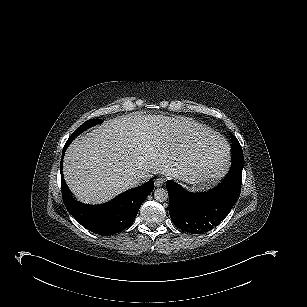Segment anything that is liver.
Returning <instances> with one entry per match:
<instances>
[{"instance_id":"6515ba94","label":"liver","mask_w":307,"mask_h":307,"mask_svg":"<svg viewBox=\"0 0 307 307\" xmlns=\"http://www.w3.org/2000/svg\"><path fill=\"white\" fill-rule=\"evenodd\" d=\"M212 133L189 119L128 114L108 120L67 148L64 179L84 203L106 202L138 176L155 174L188 181L221 169Z\"/></svg>"}]
</instances>
